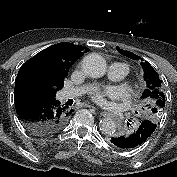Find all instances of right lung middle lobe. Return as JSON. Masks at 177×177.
Listing matches in <instances>:
<instances>
[{"instance_id":"right-lung-middle-lobe-1","label":"right lung middle lobe","mask_w":177,"mask_h":177,"mask_svg":"<svg viewBox=\"0 0 177 177\" xmlns=\"http://www.w3.org/2000/svg\"><path fill=\"white\" fill-rule=\"evenodd\" d=\"M32 89H35V90H37V91H41V92H44V93H48V94H53V95H55V93L45 92V91L39 90V89H37V88H32Z\"/></svg>"}]
</instances>
